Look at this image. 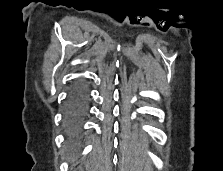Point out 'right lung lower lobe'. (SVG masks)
Wrapping results in <instances>:
<instances>
[{
    "mask_svg": "<svg viewBox=\"0 0 223 171\" xmlns=\"http://www.w3.org/2000/svg\"><path fill=\"white\" fill-rule=\"evenodd\" d=\"M84 112L85 108L83 98L75 93L68 110V130L70 134L74 135L78 132V127L83 118Z\"/></svg>",
    "mask_w": 223,
    "mask_h": 171,
    "instance_id": "obj_1",
    "label": "right lung lower lobe"
}]
</instances>
